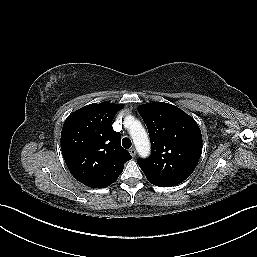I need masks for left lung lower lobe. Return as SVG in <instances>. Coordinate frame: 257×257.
<instances>
[{
	"label": "left lung lower lobe",
	"instance_id": "1",
	"mask_svg": "<svg viewBox=\"0 0 257 257\" xmlns=\"http://www.w3.org/2000/svg\"><path fill=\"white\" fill-rule=\"evenodd\" d=\"M180 182H175V181H167V182H163V183H152L156 186H160V187H167V186H174L179 184Z\"/></svg>",
	"mask_w": 257,
	"mask_h": 257
}]
</instances>
